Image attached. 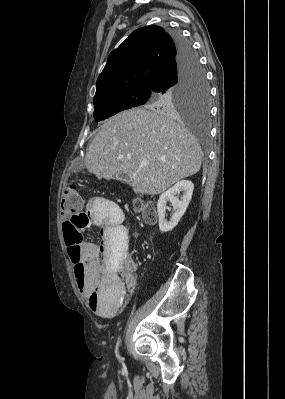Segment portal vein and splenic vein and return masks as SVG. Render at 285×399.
<instances>
[{"label": "portal vein and splenic vein", "mask_w": 285, "mask_h": 399, "mask_svg": "<svg viewBox=\"0 0 285 399\" xmlns=\"http://www.w3.org/2000/svg\"><path fill=\"white\" fill-rule=\"evenodd\" d=\"M143 165H144V166H147L148 164H147V163H144Z\"/></svg>", "instance_id": "obj_1"}]
</instances>
